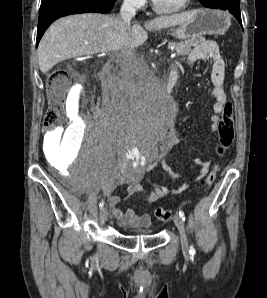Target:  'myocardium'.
<instances>
[{
  "label": "myocardium",
  "mask_w": 267,
  "mask_h": 298,
  "mask_svg": "<svg viewBox=\"0 0 267 298\" xmlns=\"http://www.w3.org/2000/svg\"><path fill=\"white\" fill-rule=\"evenodd\" d=\"M190 2H191V0H184L178 8L173 9V10H164V9H161L155 3L154 0H152V8L156 13L161 14V15H175V14H179V13L183 12L188 7Z\"/></svg>",
  "instance_id": "obj_1"
}]
</instances>
